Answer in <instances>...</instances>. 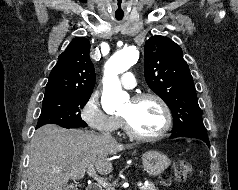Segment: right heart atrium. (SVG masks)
<instances>
[{
	"label": "right heart atrium",
	"instance_id": "right-heart-atrium-1",
	"mask_svg": "<svg viewBox=\"0 0 238 190\" xmlns=\"http://www.w3.org/2000/svg\"><path fill=\"white\" fill-rule=\"evenodd\" d=\"M81 118L89 127L99 132L112 133L119 127V119L103 111L96 93L91 94L84 103Z\"/></svg>",
	"mask_w": 238,
	"mask_h": 190
}]
</instances>
